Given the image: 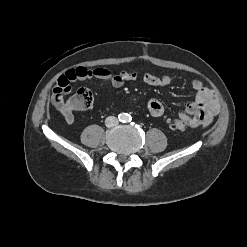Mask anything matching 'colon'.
Here are the masks:
<instances>
[{
	"label": "colon",
	"instance_id": "1",
	"mask_svg": "<svg viewBox=\"0 0 247 247\" xmlns=\"http://www.w3.org/2000/svg\"><path fill=\"white\" fill-rule=\"evenodd\" d=\"M70 105L74 110H85L92 106L93 95L87 88H80L74 96L70 98ZM168 126L175 131L182 132L186 129V124L181 120H169Z\"/></svg>",
	"mask_w": 247,
	"mask_h": 247
}]
</instances>
